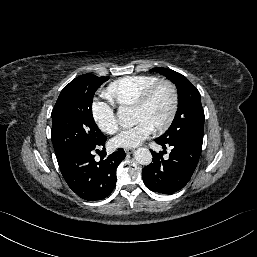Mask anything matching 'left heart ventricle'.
<instances>
[{"label":"left heart ventricle","mask_w":257,"mask_h":257,"mask_svg":"<svg viewBox=\"0 0 257 257\" xmlns=\"http://www.w3.org/2000/svg\"><path fill=\"white\" fill-rule=\"evenodd\" d=\"M171 108V93L168 88H160L149 103L140 110L133 109V121H144L152 129L161 126L167 119Z\"/></svg>","instance_id":"obj_1"}]
</instances>
